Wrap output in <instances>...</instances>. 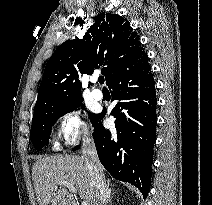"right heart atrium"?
<instances>
[{"label": "right heart atrium", "mask_w": 212, "mask_h": 205, "mask_svg": "<svg viewBox=\"0 0 212 205\" xmlns=\"http://www.w3.org/2000/svg\"><path fill=\"white\" fill-rule=\"evenodd\" d=\"M57 135L66 146L89 140L90 132L83 114L77 109L64 112L59 118Z\"/></svg>", "instance_id": "d8ad5b80"}]
</instances>
